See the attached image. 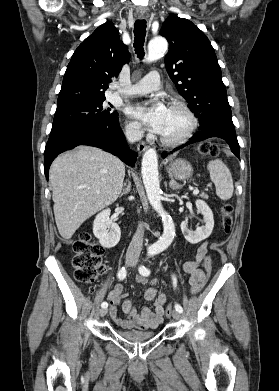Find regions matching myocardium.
<instances>
[{
    "label": "myocardium",
    "mask_w": 279,
    "mask_h": 391,
    "mask_svg": "<svg viewBox=\"0 0 279 391\" xmlns=\"http://www.w3.org/2000/svg\"><path fill=\"white\" fill-rule=\"evenodd\" d=\"M169 108L173 109H180L185 113V115L189 119V126L187 130L178 138H166L159 134V140L161 143H163L166 146H177L185 143L186 141L189 140V138L192 136L194 133L195 129L197 128L198 125V119L194 112L189 108V106L182 102V101H173L169 104Z\"/></svg>",
    "instance_id": "1"
}]
</instances>
